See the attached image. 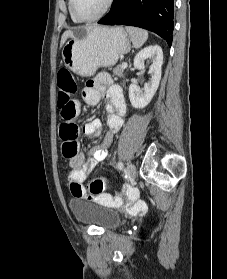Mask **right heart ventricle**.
<instances>
[{"label":"right heart ventricle","mask_w":227,"mask_h":279,"mask_svg":"<svg viewBox=\"0 0 227 279\" xmlns=\"http://www.w3.org/2000/svg\"><path fill=\"white\" fill-rule=\"evenodd\" d=\"M68 10H69V13H70V16H71L72 21H73L74 23H78V20H76V19L72 16V14H71V12H70L69 0H68Z\"/></svg>","instance_id":"e07e8e85"}]
</instances>
